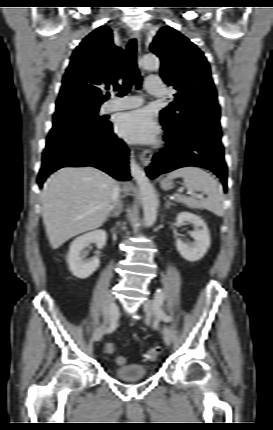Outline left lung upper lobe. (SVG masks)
I'll list each match as a JSON object with an SVG mask.
<instances>
[{
  "mask_svg": "<svg viewBox=\"0 0 273 430\" xmlns=\"http://www.w3.org/2000/svg\"><path fill=\"white\" fill-rule=\"evenodd\" d=\"M162 61L161 77L176 93L160 117L176 123L177 128L190 125L201 114L220 118V106L211 78L210 66L200 49L172 27L159 30L150 45Z\"/></svg>",
  "mask_w": 273,
  "mask_h": 430,
  "instance_id": "5c2ea615",
  "label": "left lung upper lobe"
}]
</instances>
